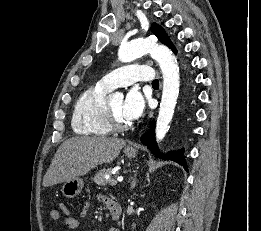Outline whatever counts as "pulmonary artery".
Instances as JSON below:
<instances>
[{
  "label": "pulmonary artery",
  "instance_id": "pulmonary-artery-1",
  "mask_svg": "<svg viewBox=\"0 0 261 231\" xmlns=\"http://www.w3.org/2000/svg\"><path fill=\"white\" fill-rule=\"evenodd\" d=\"M153 80V69L144 65H128L117 68L104 75L99 83L106 88L115 89L134 82Z\"/></svg>",
  "mask_w": 261,
  "mask_h": 231
}]
</instances>
